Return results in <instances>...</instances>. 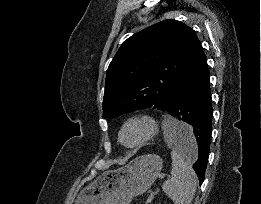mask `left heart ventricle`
<instances>
[{
	"instance_id": "obj_1",
	"label": "left heart ventricle",
	"mask_w": 261,
	"mask_h": 204,
	"mask_svg": "<svg viewBox=\"0 0 261 204\" xmlns=\"http://www.w3.org/2000/svg\"><path fill=\"white\" fill-rule=\"evenodd\" d=\"M145 133V127L141 124H131L123 132L122 138L125 143H133L139 140Z\"/></svg>"
}]
</instances>
